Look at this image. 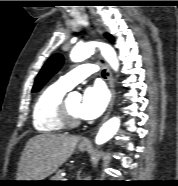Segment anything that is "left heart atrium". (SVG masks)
<instances>
[{
    "mask_svg": "<svg viewBox=\"0 0 178 186\" xmlns=\"http://www.w3.org/2000/svg\"><path fill=\"white\" fill-rule=\"evenodd\" d=\"M108 93L99 83L85 89L79 106V117L86 120L98 118L106 109Z\"/></svg>",
    "mask_w": 178,
    "mask_h": 186,
    "instance_id": "obj_1",
    "label": "left heart atrium"
}]
</instances>
